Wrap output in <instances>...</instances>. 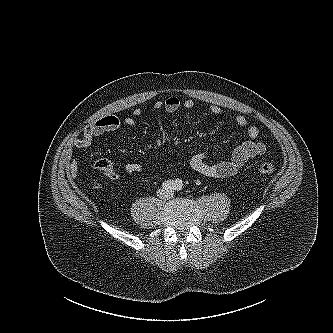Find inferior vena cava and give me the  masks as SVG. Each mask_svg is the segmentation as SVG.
<instances>
[{
    "instance_id": "obj_1",
    "label": "inferior vena cava",
    "mask_w": 333,
    "mask_h": 333,
    "mask_svg": "<svg viewBox=\"0 0 333 333\" xmlns=\"http://www.w3.org/2000/svg\"><path fill=\"white\" fill-rule=\"evenodd\" d=\"M159 197L161 199H169L171 197V193L170 192L160 193Z\"/></svg>"
}]
</instances>
